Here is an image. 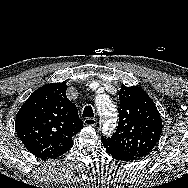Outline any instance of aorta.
Here are the masks:
<instances>
[{
  "instance_id": "aorta-1",
  "label": "aorta",
  "mask_w": 188,
  "mask_h": 188,
  "mask_svg": "<svg viewBox=\"0 0 188 188\" xmlns=\"http://www.w3.org/2000/svg\"><path fill=\"white\" fill-rule=\"evenodd\" d=\"M96 106L100 117V130L104 135L109 136L117 126V109L110 98L104 94L96 97Z\"/></svg>"
}]
</instances>
